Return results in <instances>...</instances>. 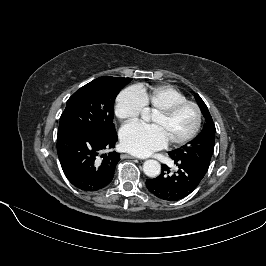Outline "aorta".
Segmentation results:
<instances>
[{"label": "aorta", "mask_w": 266, "mask_h": 266, "mask_svg": "<svg viewBox=\"0 0 266 266\" xmlns=\"http://www.w3.org/2000/svg\"><path fill=\"white\" fill-rule=\"evenodd\" d=\"M142 118L144 120L148 119L147 110H143ZM143 171H144L145 175H147L148 177L155 178V177L159 176V174L161 172V165L156 160H153V159L146 160L143 164Z\"/></svg>", "instance_id": "obj_1"}]
</instances>
